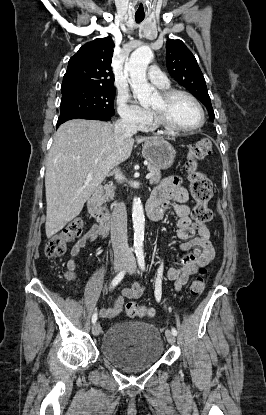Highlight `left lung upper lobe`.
Listing matches in <instances>:
<instances>
[{"label":"left lung upper lobe","mask_w":266,"mask_h":415,"mask_svg":"<svg viewBox=\"0 0 266 415\" xmlns=\"http://www.w3.org/2000/svg\"><path fill=\"white\" fill-rule=\"evenodd\" d=\"M166 62L171 76L206 106L213 121L214 111L205 79L196 58L181 40L169 39L166 42Z\"/></svg>","instance_id":"obj_1"}]
</instances>
